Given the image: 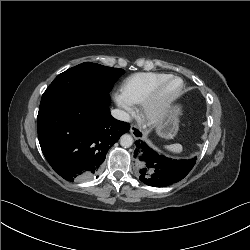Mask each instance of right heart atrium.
Returning a JSON list of instances; mask_svg holds the SVG:
<instances>
[{
	"label": "right heart atrium",
	"mask_w": 250,
	"mask_h": 250,
	"mask_svg": "<svg viewBox=\"0 0 250 250\" xmlns=\"http://www.w3.org/2000/svg\"><path fill=\"white\" fill-rule=\"evenodd\" d=\"M115 101L119 107L124 109L127 113H130L132 111V106L127 101H125L121 95L115 96Z\"/></svg>",
	"instance_id": "obj_1"
}]
</instances>
